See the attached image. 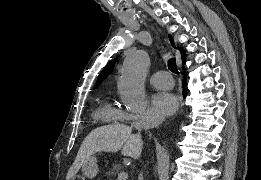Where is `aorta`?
<instances>
[{
	"mask_svg": "<svg viewBox=\"0 0 261 180\" xmlns=\"http://www.w3.org/2000/svg\"><path fill=\"white\" fill-rule=\"evenodd\" d=\"M149 64L150 58L143 50L129 52L123 62L118 90L122 103L131 111L146 107L144 81Z\"/></svg>",
	"mask_w": 261,
	"mask_h": 180,
	"instance_id": "obj_1",
	"label": "aorta"
}]
</instances>
